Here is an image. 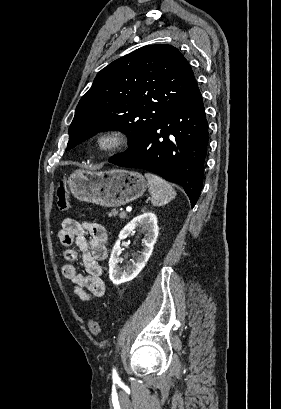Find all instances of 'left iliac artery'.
Segmentation results:
<instances>
[{"label": "left iliac artery", "mask_w": 281, "mask_h": 409, "mask_svg": "<svg viewBox=\"0 0 281 409\" xmlns=\"http://www.w3.org/2000/svg\"><path fill=\"white\" fill-rule=\"evenodd\" d=\"M113 378H114V379H117V378H118L117 373H116V370H113Z\"/></svg>", "instance_id": "1"}]
</instances>
